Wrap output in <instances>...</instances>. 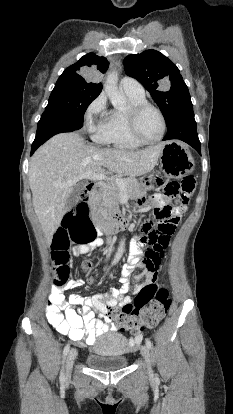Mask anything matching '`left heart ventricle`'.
<instances>
[{"instance_id":"obj_1","label":"left heart ventricle","mask_w":233,"mask_h":414,"mask_svg":"<svg viewBox=\"0 0 233 414\" xmlns=\"http://www.w3.org/2000/svg\"><path fill=\"white\" fill-rule=\"evenodd\" d=\"M138 127L146 139L154 140L159 137L162 131L161 118L155 110L148 109L140 115Z\"/></svg>"}]
</instances>
